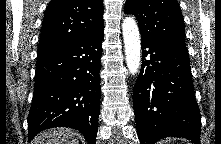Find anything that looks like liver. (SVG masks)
I'll return each mask as SVG.
<instances>
[{
  "label": "liver",
  "mask_w": 221,
  "mask_h": 144,
  "mask_svg": "<svg viewBox=\"0 0 221 144\" xmlns=\"http://www.w3.org/2000/svg\"><path fill=\"white\" fill-rule=\"evenodd\" d=\"M78 133L70 128H55L38 134L32 144H79Z\"/></svg>",
  "instance_id": "1"
}]
</instances>
